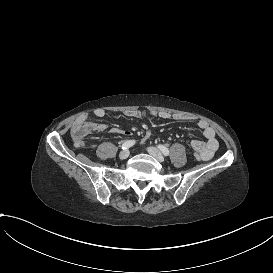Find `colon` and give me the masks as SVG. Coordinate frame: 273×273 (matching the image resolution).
Wrapping results in <instances>:
<instances>
[{
	"mask_svg": "<svg viewBox=\"0 0 273 273\" xmlns=\"http://www.w3.org/2000/svg\"><path fill=\"white\" fill-rule=\"evenodd\" d=\"M94 133V127L92 124L87 123L83 117H78L70 124L69 135L77 143L78 146L83 147L86 145V137L92 136ZM189 145L193 149L203 151L205 146L201 143H196L194 140L189 142Z\"/></svg>",
	"mask_w": 273,
	"mask_h": 273,
	"instance_id": "colon-1",
	"label": "colon"
}]
</instances>
